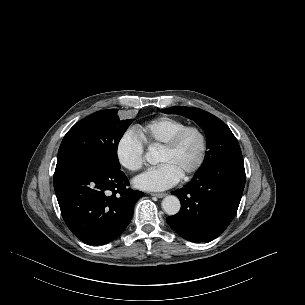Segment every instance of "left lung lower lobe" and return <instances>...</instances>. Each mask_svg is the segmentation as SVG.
<instances>
[{
  "mask_svg": "<svg viewBox=\"0 0 305 305\" xmlns=\"http://www.w3.org/2000/svg\"><path fill=\"white\" fill-rule=\"evenodd\" d=\"M244 185L242 154L230 155L198 171L184 188L172 192L180 199L181 209L166 221L186 240L210 242L234 218Z\"/></svg>",
  "mask_w": 305,
  "mask_h": 305,
  "instance_id": "1",
  "label": "left lung lower lobe"
}]
</instances>
